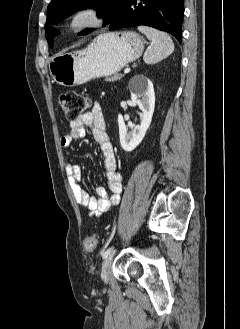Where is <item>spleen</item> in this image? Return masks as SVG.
Here are the masks:
<instances>
[{"label":"spleen","mask_w":240,"mask_h":329,"mask_svg":"<svg viewBox=\"0 0 240 329\" xmlns=\"http://www.w3.org/2000/svg\"><path fill=\"white\" fill-rule=\"evenodd\" d=\"M138 30L151 41V48L143 56L145 63H157L174 51V43L167 33L147 26H139Z\"/></svg>","instance_id":"spleen-1"}]
</instances>
